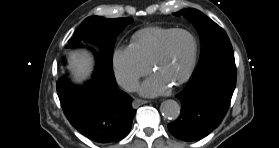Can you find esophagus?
Returning <instances> with one entry per match:
<instances>
[{
    "label": "esophagus",
    "instance_id": "esophagus-1",
    "mask_svg": "<svg viewBox=\"0 0 279 148\" xmlns=\"http://www.w3.org/2000/svg\"><path fill=\"white\" fill-rule=\"evenodd\" d=\"M148 102H149L148 100L135 99V100H133V102H132V107H133V108H137V107H139V106H141V105H143V104H146V103H148Z\"/></svg>",
    "mask_w": 279,
    "mask_h": 148
}]
</instances>
